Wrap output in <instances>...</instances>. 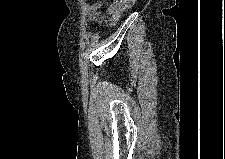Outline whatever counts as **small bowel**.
Listing matches in <instances>:
<instances>
[{
    "label": "small bowel",
    "instance_id": "c3829d8e",
    "mask_svg": "<svg viewBox=\"0 0 225 159\" xmlns=\"http://www.w3.org/2000/svg\"><path fill=\"white\" fill-rule=\"evenodd\" d=\"M103 4L104 0H98L93 3L86 4V9L88 11L86 24H90L92 22H99V23L102 22L100 9L102 8ZM114 6L115 5H112L110 7V11L112 14H117L118 12L115 11Z\"/></svg>",
    "mask_w": 225,
    "mask_h": 159
}]
</instances>
